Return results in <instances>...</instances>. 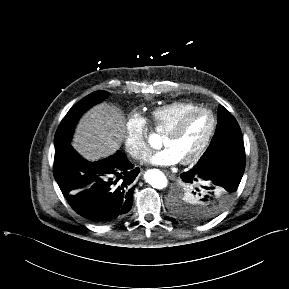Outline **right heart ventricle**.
<instances>
[{"label": "right heart ventricle", "mask_w": 289, "mask_h": 289, "mask_svg": "<svg viewBox=\"0 0 289 289\" xmlns=\"http://www.w3.org/2000/svg\"><path fill=\"white\" fill-rule=\"evenodd\" d=\"M196 108L199 106L192 102L175 101L154 108L150 117L156 128L164 134L182 115Z\"/></svg>", "instance_id": "obj_1"}]
</instances>
